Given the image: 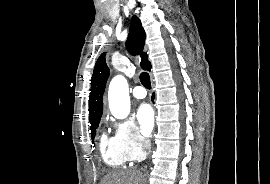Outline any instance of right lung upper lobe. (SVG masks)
Here are the masks:
<instances>
[{
    "label": "right lung upper lobe",
    "instance_id": "1",
    "mask_svg": "<svg viewBox=\"0 0 270 184\" xmlns=\"http://www.w3.org/2000/svg\"><path fill=\"white\" fill-rule=\"evenodd\" d=\"M144 43L145 31L142 28L141 21L138 17L133 16L126 46L131 54L136 55L143 52ZM105 54H101L98 58L91 80V92L89 96V120L91 124L100 121L102 115V97L109 77V68L106 64ZM141 67L144 70H150L151 68L147 55L144 53L141 54Z\"/></svg>",
    "mask_w": 270,
    "mask_h": 184
}]
</instances>
